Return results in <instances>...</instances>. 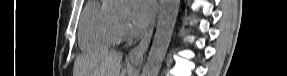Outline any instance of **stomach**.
<instances>
[{"instance_id": "0dacf381", "label": "stomach", "mask_w": 287, "mask_h": 76, "mask_svg": "<svg viewBox=\"0 0 287 76\" xmlns=\"http://www.w3.org/2000/svg\"><path fill=\"white\" fill-rule=\"evenodd\" d=\"M132 64L136 65L138 64V61H132Z\"/></svg>"}]
</instances>
